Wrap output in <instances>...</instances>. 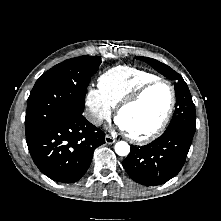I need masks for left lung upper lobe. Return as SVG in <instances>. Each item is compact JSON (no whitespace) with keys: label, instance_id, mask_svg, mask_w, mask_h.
Masks as SVG:
<instances>
[{"label":"left lung upper lobe","instance_id":"5c2ea615","mask_svg":"<svg viewBox=\"0 0 221 221\" xmlns=\"http://www.w3.org/2000/svg\"><path fill=\"white\" fill-rule=\"evenodd\" d=\"M147 62L159 73L175 82L176 107L172 120L166 131L177 129L195 132L196 113L190 91L183 78L169 66L148 57H135Z\"/></svg>","mask_w":221,"mask_h":221}]
</instances>
